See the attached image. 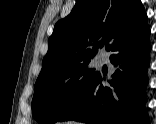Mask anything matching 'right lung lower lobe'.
Listing matches in <instances>:
<instances>
[{
    "mask_svg": "<svg viewBox=\"0 0 156 124\" xmlns=\"http://www.w3.org/2000/svg\"><path fill=\"white\" fill-rule=\"evenodd\" d=\"M150 29L148 26L124 33L106 50L114 52L111 62L117 67L104 84L100 73L59 121L75 120L89 124H149L144 109L147 68L149 65Z\"/></svg>",
    "mask_w": 156,
    "mask_h": 124,
    "instance_id": "1",
    "label": "right lung lower lobe"
}]
</instances>
